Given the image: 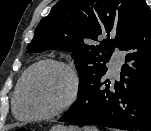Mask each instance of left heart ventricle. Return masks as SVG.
Listing matches in <instances>:
<instances>
[{
  "instance_id": "1",
  "label": "left heart ventricle",
  "mask_w": 151,
  "mask_h": 131,
  "mask_svg": "<svg viewBox=\"0 0 151 131\" xmlns=\"http://www.w3.org/2000/svg\"><path fill=\"white\" fill-rule=\"evenodd\" d=\"M69 81L56 67H44L28 78L20 99V110L25 115L43 114L55 109L66 97Z\"/></svg>"
}]
</instances>
